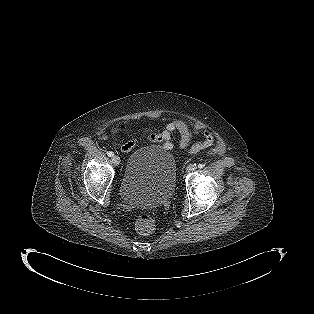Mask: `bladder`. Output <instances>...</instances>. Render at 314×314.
<instances>
[{"label":"bladder","mask_w":314,"mask_h":314,"mask_svg":"<svg viewBox=\"0 0 314 314\" xmlns=\"http://www.w3.org/2000/svg\"><path fill=\"white\" fill-rule=\"evenodd\" d=\"M176 173L172 153L156 146L140 148L128 160L120 196L132 207L156 208L174 194Z\"/></svg>","instance_id":"1"}]
</instances>
